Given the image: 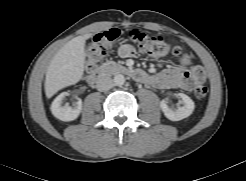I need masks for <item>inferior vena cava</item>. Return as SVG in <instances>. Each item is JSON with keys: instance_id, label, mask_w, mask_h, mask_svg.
<instances>
[{"instance_id": "obj_1", "label": "inferior vena cava", "mask_w": 246, "mask_h": 181, "mask_svg": "<svg viewBox=\"0 0 246 181\" xmlns=\"http://www.w3.org/2000/svg\"><path fill=\"white\" fill-rule=\"evenodd\" d=\"M113 86V80L106 75H101L97 78L96 88L98 91L105 92L111 89Z\"/></svg>"}]
</instances>
